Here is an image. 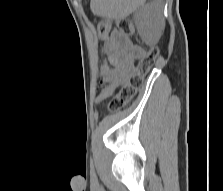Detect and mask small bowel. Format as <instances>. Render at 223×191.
Masks as SVG:
<instances>
[{"label": "small bowel", "instance_id": "small-bowel-1", "mask_svg": "<svg viewBox=\"0 0 223 191\" xmlns=\"http://www.w3.org/2000/svg\"><path fill=\"white\" fill-rule=\"evenodd\" d=\"M105 50L110 69L102 72L106 85L100 90L97 102L105 100L115 89L124 86L135 72L136 62L144 55L142 48L118 30L108 36Z\"/></svg>", "mask_w": 223, "mask_h": 191}]
</instances>
